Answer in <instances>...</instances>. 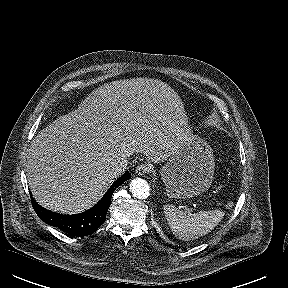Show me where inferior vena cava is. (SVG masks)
Segmentation results:
<instances>
[{
    "mask_svg": "<svg viewBox=\"0 0 288 288\" xmlns=\"http://www.w3.org/2000/svg\"><path fill=\"white\" fill-rule=\"evenodd\" d=\"M128 163L129 161L126 157H121L114 160L110 166V173L116 175L118 173L124 172V170L127 168Z\"/></svg>",
    "mask_w": 288,
    "mask_h": 288,
    "instance_id": "inferior-vena-cava-1",
    "label": "inferior vena cava"
}]
</instances>
